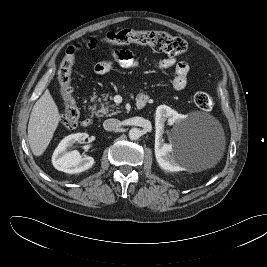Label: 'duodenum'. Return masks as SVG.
<instances>
[{"label": "duodenum", "mask_w": 267, "mask_h": 267, "mask_svg": "<svg viewBox=\"0 0 267 267\" xmlns=\"http://www.w3.org/2000/svg\"><path fill=\"white\" fill-rule=\"evenodd\" d=\"M148 103V96L146 94H140L136 99V107L138 109H143ZM93 123L92 117H85L82 120V126L89 127Z\"/></svg>", "instance_id": "duodenum-1"}]
</instances>
